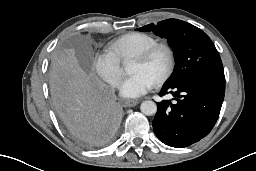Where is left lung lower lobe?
Returning a JSON list of instances; mask_svg holds the SVG:
<instances>
[{"instance_id":"left-lung-lower-lobe-1","label":"left lung lower lobe","mask_w":256,"mask_h":171,"mask_svg":"<svg viewBox=\"0 0 256 171\" xmlns=\"http://www.w3.org/2000/svg\"><path fill=\"white\" fill-rule=\"evenodd\" d=\"M171 93L174 101L158 102L153 120L156 136L166 145L182 148L205 137L214 127L225 94L224 74L191 75L164 85L160 96Z\"/></svg>"}]
</instances>
